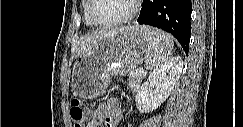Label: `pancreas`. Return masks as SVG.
Listing matches in <instances>:
<instances>
[{
    "label": "pancreas",
    "instance_id": "pancreas-1",
    "mask_svg": "<svg viewBox=\"0 0 243 127\" xmlns=\"http://www.w3.org/2000/svg\"><path fill=\"white\" fill-rule=\"evenodd\" d=\"M142 79H143V74H136V73L132 72L128 79V86L132 90H136L139 87Z\"/></svg>",
    "mask_w": 243,
    "mask_h": 127
}]
</instances>
